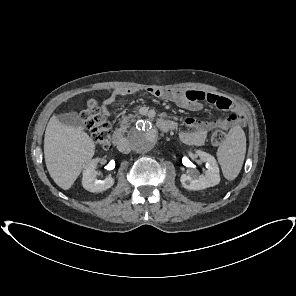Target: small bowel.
<instances>
[{
  "instance_id": "1",
  "label": "small bowel",
  "mask_w": 296,
  "mask_h": 296,
  "mask_svg": "<svg viewBox=\"0 0 296 296\" xmlns=\"http://www.w3.org/2000/svg\"><path fill=\"white\" fill-rule=\"evenodd\" d=\"M151 93L163 100L174 102L178 107L189 110L199 111L205 104L230 112V115L211 121H201L193 117L185 120V127L180 131L181 140L189 145L200 146L204 143L207 134L216 128L227 129L235 125H242L245 116L241 108L230 99L200 90H160L150 89ZM133 93L130 89H117L113 91L104 101L102 111L108 114V106L118 97L127 96Z\"/></svg>"
}]
</instances>
